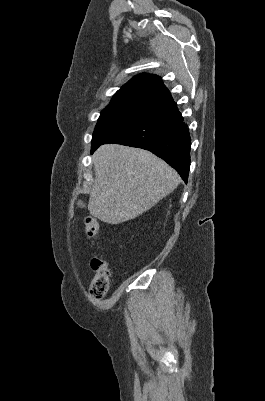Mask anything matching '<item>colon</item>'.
<instances>
[{
  "label": "colon",
  "mask_w": 265,
  "mask_h": 401,
  "mask_svg": "<svg viewBox=\"0 0 265 401\" xmlns=\"http://www.w3.org/2000/svg\"><path fill=\"white\" fill-rule=\"evenodd\" d=\"M83 226L90 237L99 233V223L94 217H85ZM94 276L91 280L89 293L93 299H102L109 291L111 272L108 264L102 258L95 256L91 261Z\"/></svg>",
  "instance_id": "obj_1"
}]
</instances>
